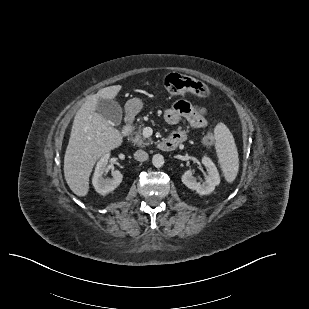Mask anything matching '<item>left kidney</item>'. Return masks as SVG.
Listing matches in <instances>:
<instances>
[{
  "mask_svg": "<svg viewBox=\"0 0 309 309\" xmlns=\"http://www.w3.org/2000/svg\"><path fill=\"white\" fill-rule=\"evenodd\" d=\"M202 164L205 166L207 170V175L205 176V181L200 183L193 176L194 170H187L182 175V182L189 189L195 190L197 193L201 195H207L214 191L215 186L220 183V176L215 164L209 157L204 156L202 158Z\"/></svg>",
  "mask_w": 309,
  "mask_h": 309,
  "instance_id": "1",
  "label": "left kidney"
}]
</instances>
